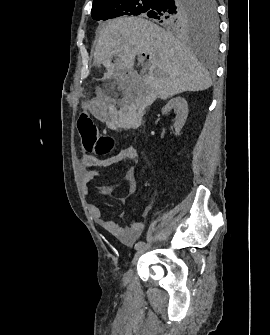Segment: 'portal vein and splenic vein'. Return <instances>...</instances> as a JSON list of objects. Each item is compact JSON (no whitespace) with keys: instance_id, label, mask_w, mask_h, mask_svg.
Returning <instances> with one entry per match:
<instances>
[{"instance_id":"18ae733b","label":"portal vein and splenic vein","mask_w":270,"mask_h":335,"mask_svg":"<svg viewBox=\"0 0 270 335\" xmlns=\"http://www.w3.org/2000/svg\"><path fill=\"white\" fill-rule=\"evenodd\" d=\"M147 65H148V66H151V65H152V62H151V61H148V62H147Z\"/></svg>"}]
</instances>
